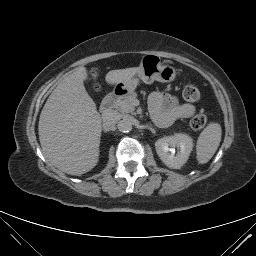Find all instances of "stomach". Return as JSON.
<instances>
[{
  "label": "stomach",
  "mask_w": 256,
  "mask_h": 256,
  "mask_svg": "<svg viewBox=\"0 0 256 256\" xmlns=\"http://www.w3.org/2000/svg\"><path fill=\"white\" fill-rule=\"evenodd\" d=\"M176 77V71L172 66L162 63L154 54L142 57L139 71L132 77L126 78L115 85V91L120 94L132 93L139 81L151 84L155 80L162 83L172 82Z\"/></svg>",
  "instance_id": "obj_1"
}]
</instances>
